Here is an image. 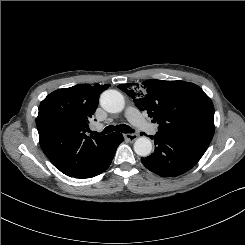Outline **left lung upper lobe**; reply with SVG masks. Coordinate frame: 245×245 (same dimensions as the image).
Here are the masks:
<instances>
[{
    "label": "left lung upper lobe",
    "mask_w": 245,
    "mask_h": 245,
    "mask_svg": "<svg viewBox=\"0 0 245 245\" xmlns=\"http://www.w3.org/2000/svg\"><path fill=\"white\" fill-rule=\"evenodd\" d=\"M119 89L134 99L141 111L159 124L158 131L190 135L211 142L214 135V107L196 84L151 79L141 85L120 84Z\"/></svg>",
    "instance_id": "5c2ea615"
}]
</instances>
